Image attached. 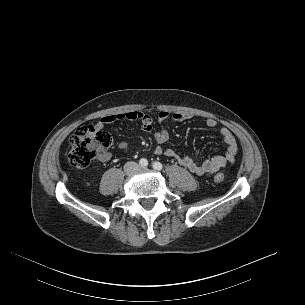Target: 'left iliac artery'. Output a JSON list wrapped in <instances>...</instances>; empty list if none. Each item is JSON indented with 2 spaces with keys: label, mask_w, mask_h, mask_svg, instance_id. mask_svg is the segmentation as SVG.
<instances>
[{
  "label": "left iliac artery",
  "mask_w": 305,
  "mask_h": 305,
  "mask_svg": "<svg viewBox=\"0 0 305 305\" xmlns=\"http://www.w3.org/2000/svg\"><path fill=\"white\" fill-rule=\"evenodd\" d=\"M152 167L154 168V169H156V170H162V168H163V165L160 163V162H153L152 163Z\"/></svg>",
  "instance_id": "obj_1"
}]
</instances>
